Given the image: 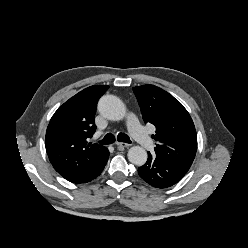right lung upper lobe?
Wrapping results in <instances>:
<instances>
[{"instance_id": "cb5924a9", "label": "right lung upper lobe", "mask_w": 248, "mask_h": 248, "mask_svg": "<svg viewBox=\"0 0 248 248\" xmlns=\"http://www.w3.org/2000/svg\"><path fill=\"white\" fill-rule=\"evenodd\" d=\"M109 86H90L61 105L46 131L45 146L54 169L66 180L78 183L89 175L108 152L104 146L87 142L96 128L98 99Z\"/></svg>"}]
</instances>
